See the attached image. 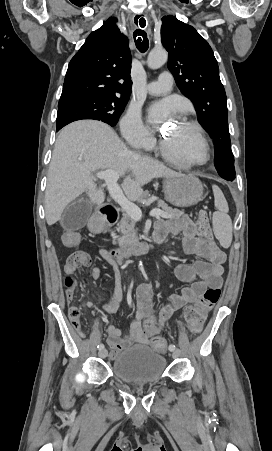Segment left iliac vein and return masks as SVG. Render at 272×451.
Instances as JSON below:
<instances>
[{
  "mask_svg": "<svg viewBox=\"0 0 272 451\" xmlns=\"http://www.w3.org/2000/svg\"><path fill=\"white\" fill-rule=\"evenodd\" d=\"M173 359H176L179 357V350H175L173 355H172Z\"/></svg>",
  "mask_w": 272,
  "mask_h": 451,
  "instance_id": "4c4485c4",
  "label": "left iliac vein"
}]
</instances>
